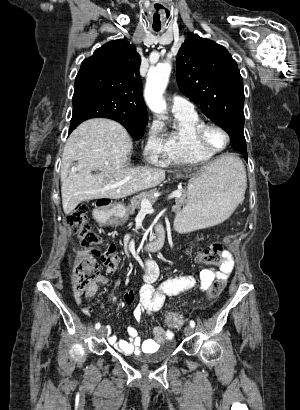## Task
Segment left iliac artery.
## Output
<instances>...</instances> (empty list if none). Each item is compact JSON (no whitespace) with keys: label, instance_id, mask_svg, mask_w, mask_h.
Segmentation results:
<instances>
[{"label":"left iliac artery","instance_id":"obj_1","mask_svg":"<svg viewBox=\"0 0 300 410\" xmlns=\"http://www.w3.org/2000/svg\"><path fill=\"white\" fill-rule=\"evenodd\" d=\"M190 326L193 328L195 327V322L193 320L190 321Z\"/></svg>","mask_w":300,"mask_h":410}]
</instances>
